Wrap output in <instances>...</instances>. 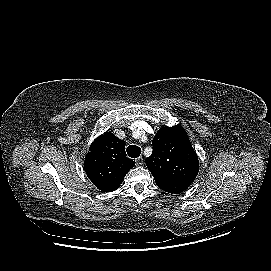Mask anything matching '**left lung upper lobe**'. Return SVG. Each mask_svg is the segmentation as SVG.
Listing matches in <instances>:
<instances>
[{
  "label": "left lung upper lobe",
  "mask_w": 271,
  "mask_h": 271,
  "mask_svg": "<svg viewBox=\"0 0 271 271\" xmlns=\"http://www.w3.org/2000/svg\"><path fill=\"white\" fill-rule=\"evenodd\" d=\"M153 152L145 162L157 186L169 193H180L179 183L188 186L199 171V161L181 125L161 128L153 138Z\"/></svg>",
  "instance_id": "5c2ea615"
}]
</instances>
